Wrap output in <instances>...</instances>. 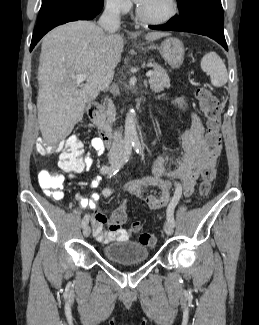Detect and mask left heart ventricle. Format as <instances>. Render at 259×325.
<instances>
[{
	"label": "left heart ventricle",
	"mask_w": 259,
	"mask_h": 325,
	"mask_svg": "<svg viewBox=\"0 0 259 325\" xmlns=\"http://www.w3.org/2000/svg\"><path fill=\"white\" fill-rule=\"evenodd\" d=\"M141 6L144 12L150 16H161L168 10L167 0H148Z\"/></svg>",
	"instance_id": "b2bd125f"
}]
</instances>
